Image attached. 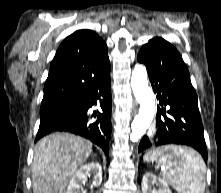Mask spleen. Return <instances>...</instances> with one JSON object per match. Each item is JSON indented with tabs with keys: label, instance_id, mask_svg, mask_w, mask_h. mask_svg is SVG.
<instances>
[{
	"label": "spleen",
	"instance_id": "obj_1",
	"mask_svg": "<svg viewBox=\"0 0 221 193\" xmlns=\"http://www.w3.org/2000/svg\"><path fill=\"white\" fill-rule=\"evenodd\" d=\"M143 160L158 161L161 176L178 193H204L206 166L188 146H153Z\"/></svg>",
	"mask_w": 221,
	"mask_h": 193
}]
</instances>
